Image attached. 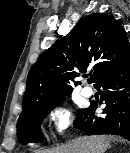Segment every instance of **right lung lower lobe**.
<instances>
[{
  "label": "right lung lower lobe",
  "instance_id": "right-lung-lower-lobe-1",
  "mask_svg": "<svg viewBox=\"0 0 130 153\" xmlns=\"http://www.w3.org/2000/svg\"><path fill=\"white\" fill-rule=\"evenodd\" d=\"M94 87L103 88L100 103L106 107L100 116L95 114L94 101L78 115L74 126L88 135L115 134L130 140V57L103 74Z\"/></svg>",
  "mask_w": 130,
  "mask_h": 153
}]
</instances>
